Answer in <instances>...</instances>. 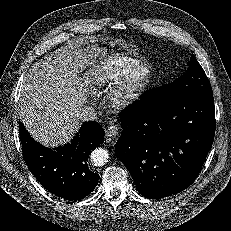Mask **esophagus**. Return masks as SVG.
Returning <instances> with one entry per match:
<instances>
[{
  "mask_svg": "<svg viewBox=\"0 0 231 231\" xmlns=\"http://www.w3.org/2000/svg\"><path fill=\"white\" fill-rule=\"evenodd\" d=\"M119 134V127L115 124H111L106 128V135L109 138H115Z\"/></svg>",
  "mask_w": 231,
  "mask_h": 231,
  "instance_id": "1",
  "label": "esophagus"
}]
</instances>
